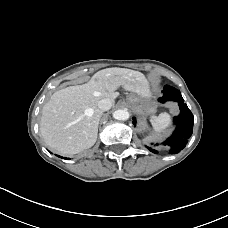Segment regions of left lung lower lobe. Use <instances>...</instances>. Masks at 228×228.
<instances>
[{"mask_svg": "<svg viewBox=\"0 0 228 228\" xmlns=\"http://www.w3.org/2000/svg\"><path fill=\"white\" fill-rule=\"evenodd\" d=\"M163 93L164 96L159 98L160 102L164 103L166 101L172 100L178 102L180 107V114L174 119L177 127L173 135L163 142L164 145L167 144L171 147V154H176L185 147L188 142L187 140L192 135L194 117L191 111L188 109L187 105L184 103V100L179 90L166 85L163 89ZM133 124H136L135 118H133ZM147 148L153 153H157L156 150L150 147Z\"/></svg>", "mask_w": 228, "mask_h": 228, "instance_id": "obj_1", "label": "left lung lower lobe"}]
</instances>
